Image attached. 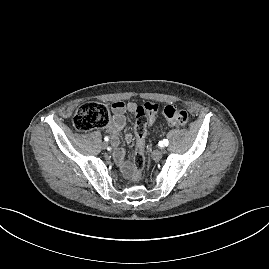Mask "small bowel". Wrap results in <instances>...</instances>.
I'll list each match as a JSON object with an SVG mask.
<instances>
[{"label":"small bowel","mask_w":269,"mask_h":269,"mask_svg":"<svg viewBox=\"0 0 269 269\" xmlns=\"http://www.w3.org/2000/svg\"><path fill=\"white\" fill-rule=\"evenodd\" d=\"M113 117L111 123L108 126V132L111 136L112 145L114 147L113 157L116 163L121 167L122 173L127 178H132L134 174V166L126 160V151L124 148L119 147L120 132L124 129L126 125L125 114L127 112L136 114L137 105L133 102L124 103L118 101L112 105ZM126 143L130 144L133 141V136L127 133L124 137Z\"/></svg>","instance_id":"small-bowel-1"}]
</instances>
